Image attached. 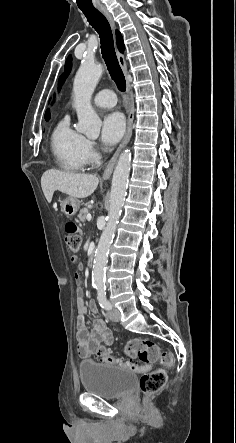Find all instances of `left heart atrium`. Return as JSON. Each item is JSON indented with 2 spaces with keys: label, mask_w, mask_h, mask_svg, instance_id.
I'll use <instances>...</instances> for the list:
<instances>
[{
  "label": "left heart atrium",
  "mask_w": 236,
  "mask_h": 443,
  "mask_svg": "<svg viewBox=\"0 0 236 443\" xmlns=\"http://www.w3.org/2000/svg\"><path fill=\"white\" fill-rule=\"evenodd\" d=\"M125 131V120L120 112L106 114L101 123V140L106 145L116 144Z\"/></svg>",
  "instance_id": "left-heart-atrium-1"
}]
</instances>
